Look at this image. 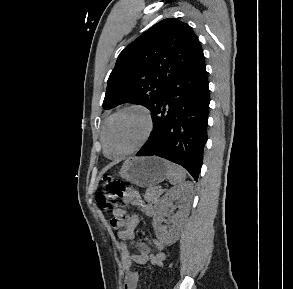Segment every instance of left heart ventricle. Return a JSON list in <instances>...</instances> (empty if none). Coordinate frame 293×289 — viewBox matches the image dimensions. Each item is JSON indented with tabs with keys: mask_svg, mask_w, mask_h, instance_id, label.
<instances>
[{
	"mask_svg": "<svg viewBox=\"0 0 293 289\" xmlns=\"http://www.w3.org/2000/svg\"><path fill=\"white\" fill-rule=\"evenodd\" d=\"M145 130V121L138 111H127L117 116L107 130V152L117 156L135 147Z\"/></svg>",
	"mask_w": 293,
	"mask_h": 289,
	"instance_id": "b2bd125f",
	"label": "left heart ventricle"
}]
</instances>
